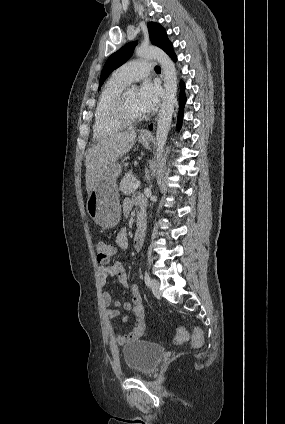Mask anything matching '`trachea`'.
I'll return each mask as SVG.
<instances>
[{
  "label": "trachea",
  "instance_id": "3493384b",
  "mask_svg": "<svg viewBox=\"0 0 285 424\" xmlns=\"http://www.w3.org/2000/svg\"><path fill=\"white\" fill-rule=\"evenodd\" d=\"M155 72H161L160 67L159 66H155Z\"/></svg>",
  "mask_w": 285,
  "mask_h": 424
}]
</instances>
